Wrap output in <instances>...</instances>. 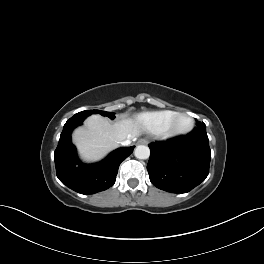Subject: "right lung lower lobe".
I'll list each match as a JSON object with an SVG mask.
<instances>
[{
	"label": "right lung lower lobe",
	"instance_id": "right-lung-lower-lobe-1",
	"mask_svg": "<svg viewBox=\"0 0 264 264\" xmlns=\"http://www.w3.org/2000/svg\"><path fill=\"white\" fill-rule=\"evenodd\" d=\"M85 118L73 116L65 123L54 160L57 177L63 184L81 194H94L114 185L119 165L133 152L134 146L119 148L96 164L82 163L71 143V132Z\"/></svg>",
	"mask_w": 264,
	"mask_h": 264
}]
</instances>
